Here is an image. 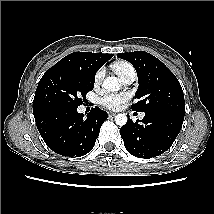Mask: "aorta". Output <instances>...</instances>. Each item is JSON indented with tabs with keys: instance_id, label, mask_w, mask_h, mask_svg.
Segmentation results:
<instances>
[{
	"instance_id": "1",
	"label": "aorta",
	"mask_w": 214,
	"mask_h": 214,
	"mask_svg": "<svg viewBox=\"0 0 214 214\" xmlns=\"http://www.w3.org/2000/svg\"><path fill=\"white\" fill-rule=\"evenodd\" d=\"M102 86L107 89L114 91L118 88V79L115 76L107 77L104 81ZM115 122L119 126H123L127 123V116L126 114H118L115 116Z\"/></svg>"
}]
</instances>
